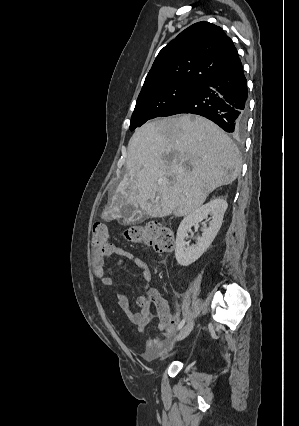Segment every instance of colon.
I'll return each instance as SVG.
<instances>
[{
	"label": "colon",
	"instance_id": "5ec220e1",
	"mask_svg": "<svg viewBox=\"0 0 299 426\" xmlns=\"http://www.w3.org/2000/svg\"><path fill=\"white\" fill-rule=\"evenodd\" d=\"M124 235L130 242L147 245L158 252H168L174 247V237L170 229L157 222L130 227L125 230ZM92 245L100 256L112 254L113 244L109 240V232L104 223L94 224Z\"/></svg>",
	"mask_w": 299,
	"mask_h": 426
}]
</instances>
